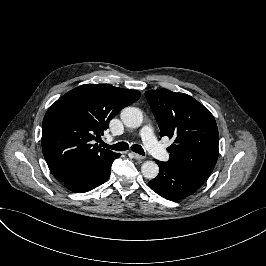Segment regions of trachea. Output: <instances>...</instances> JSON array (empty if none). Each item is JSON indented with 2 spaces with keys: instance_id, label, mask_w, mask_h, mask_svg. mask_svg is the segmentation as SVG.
Segmentation results:
<instances>
[{
  "instance_id": "3493384b",
  "label": "trachea",
  "mask_w": 266,
  "mask_h": 266,
  "mask_svg": "<svg viewBox=\"0 0 266 266\" xmlns=\"http://www.w3.org/2000/svg\"><path fill=\"white\" fill-rule=\"evenodd\" d=\"M102 146L105 147V148H108V149H112V150H117V151H125V150H128L129 149V146L127 143L125 142H119L115 145H107L106 143H102ZM131 150L140 154V155H145V152L143 150V148L138 145V144H135L131 147Z\"/></svg>"
}]
</instances>
